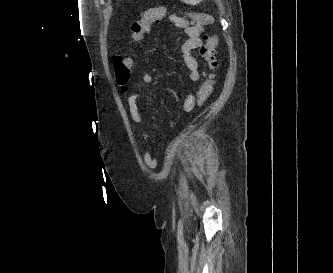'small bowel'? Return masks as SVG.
<instances>
[{
    "label": "small bowel",
    "mask_w": 333,
    "mask_h": 273,
    "mask_svg": "<svg viewBox=\"0 0 333 273\" xmlns=\"http://www.w3.org/2000/svg\"><path fill=\"white\" fill-rule=\"evenodd\" d=\"M165 12L161 19H166L174 28L177 30H183L185 38L183 40H178V45L180 49L181 56L184 60V63L189 71V78L191 81H198L201 76V68L199 61L195 55V50L202 43V36L204 31V26L201 24H197L193 21H190L186 18L179 16L176 13L170 14L169 18L165 17ZM178 17V22H173L172 18ZM154 76L153 73L149 69H144L141 73V81L143 84L148 85L153 82ZM143 91L137 92H128L124 91V96L127 100L129 114L137 125L142 127V135L141 139L145 140L148 137L147 130L143 127V118L138 110L139 100L143 95ZM196 104V96L193 93H189L183 99L181 108L185 112L191 111ZM144 161L149 168H153L156 166V161L153 158L150 152H146L144 154Z\"/></svg>",
    "instance_id": "c3829d8e"
}]
</instances>
